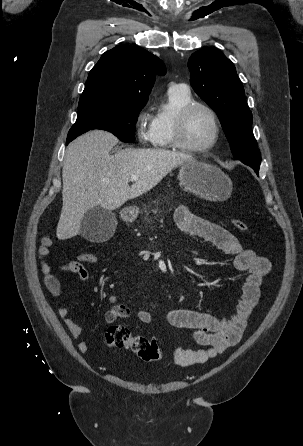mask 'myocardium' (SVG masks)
<instances>
[{
    "label": "myocardium",
    "instance_id": "f54148a6",
    "mask_svg": "<svg viewBox=\"0 0 303 446\" xmlns=\"http://www.w3.org/2000/svg\"><path fill=\"white\" fill-rule=\"evenodd\" d=\"M196 109H202L208 113L213 124V137L204 146H192L185 140V127L189 115ZM221 127L216 112L207 104L202 102H191L184 106L175 116L173 123V143L180 150L190 153H204L211 150L220 138Z\"/></svg>",
    "mask_w": 303,
    "mask_h": 446
}]
</instances>
